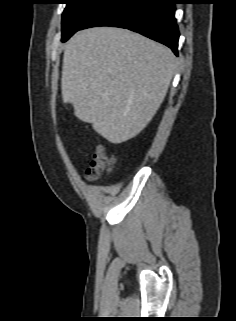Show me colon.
<instances>
[{
	"mask_svg": "<svg viewBox=\"0 0 236 321\" xmlns=\"http://www.w3.org/2000/svg\"><path fill=\"white\" fill-rule=\"evenodd\" d=\"M115 159L109 154L106 148L98 145L89 167L85 172V178L89 182H93L102 177V175L111 170Z\"/></svg>",
	"mask_w": 236,
	"mask_h": 321,
	"instance_id": "5ec220e1",
	"label": "colon"
}]
</instances>
